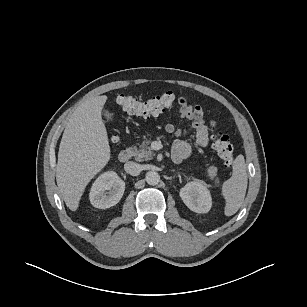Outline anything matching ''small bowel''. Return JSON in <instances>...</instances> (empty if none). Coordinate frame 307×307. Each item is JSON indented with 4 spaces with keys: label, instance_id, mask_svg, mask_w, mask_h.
Listing matches in <instances>:
<instances>
[{
    "label": "small bowel",
    "instance_id": "c3829d8e",
    "mask_svg": "<svg viewBox=\"0 0 307 307\" xmlns=\"http://www.w3.org/2000/svg\"><path fill=\"white\" fill-rule=\"evenodd\" d=\"M177 100L179 117L190 121V124L187 129H183L173 123H169L166 125L165 130L178 137L172 145V157L175 162L180 163L190 157L193 152L192 147L182 137L189 131H195L197 147H205L209 141L210 131L216 128V122L210 121L209 124H206L203 109L199 105H191L181 96Z\"/></svg>",
    "mask_w": 307,
    "mask_h": 307
}]
</instances>
